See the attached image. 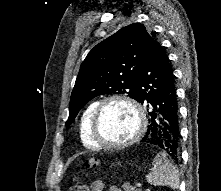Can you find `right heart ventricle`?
<instances>
[{
  "label": "right heart ventricle",
  "mask_w": 221,
  "mask_h": 191,
  "mask_svg": "<svg viewBox=\"0 0 221 191\" xmlns=\"http://www.w3.org/2000/svg\"><path fill=\"white\" fill-rule=\"evenodd\" d=\"M97 105V101L91 102L83 111L79 121L80 140L85 147L90 149H96L100 147L97 143H95L91 136V120Z\"/></svg>",
  "instance_id": "right-heart-ventricle-1"
}]
</instances>
